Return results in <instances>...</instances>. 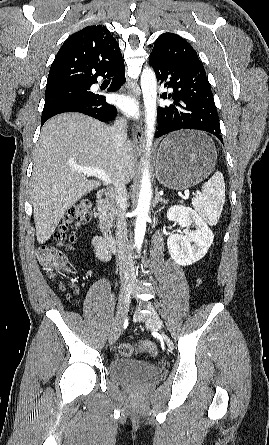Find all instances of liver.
I'll return each mask as SVG.
<instances>
[{"instance_id":"obj_1","label":"liver","mask_w":269,"mask_h":445,"mask_svg":"<svg viewBox=\"0 0 269 445\" xmlns=\"http://www.w3.org/2000/svg\"><path fill=\"white\" fill-rule=\"evenodd\" d=\"M75 167L99 168L111 182L129 183L134 176L135 152L126 141L117 153L110 128L89 116L65 113L48 120L41 130L32 173L33 213L40 244L50 239L69 208L101 185L87 180Z\"/></svg>"}]
</instances>
